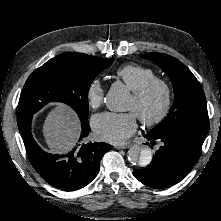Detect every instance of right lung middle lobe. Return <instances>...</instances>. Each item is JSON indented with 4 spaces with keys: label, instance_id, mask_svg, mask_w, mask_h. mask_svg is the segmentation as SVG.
I'll use <instances>...</instances> for the list:
<instances>
[{
    "label": "right lung middle lobe",
    "instance_id": "right-lung-middle-lobe-1",
    "mask_svg": "<svg viewBox=\"0 0 221 221\" xmlns=\"http://www.w3.org/2000/svg\"><path fill=\"white\" fill-rule=\"evenodd\" d=\"M114 58L93 57L83 65L53 58L27 79L17 107V121L32 116L48 102H63L73 108L82 123L88 122V90L94 78L112 64Z\"/></svg>",
    "mask_w": 221,
    "mask_h": 221
}]
</instances>
